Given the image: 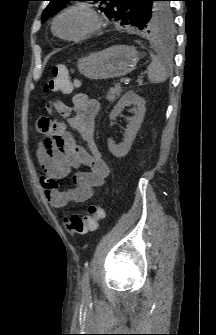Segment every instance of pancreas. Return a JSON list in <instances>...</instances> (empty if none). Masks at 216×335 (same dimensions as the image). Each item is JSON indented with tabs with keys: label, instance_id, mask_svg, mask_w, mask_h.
<instances>
[{
	"label": "pancreas",
	"instance_id": "cf45deb5",
	"mask_svg": "<svg viewBox=\"0 0 216 335\" xmlns=\"http://www.w3.org/2000/svg\"><path fill=\"white\" fill-rule=\"evenodd\" d=\"M121 92H122V88L120 84L116 83L113 87L109 89L107 93V100L113 103L120 96Z\"/></svg>",
	"mask_w": 216,
	"mask_h": 335
}]
</instances>
